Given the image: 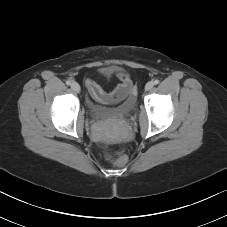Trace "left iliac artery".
Returning a JSON list of instances; mask_svg holds the SVG:
<instances>
[{"label": "left iliac artery", "mask_w": 227, "mask_h": 227, "mask_svg": "<svg viewBox=\"0 0 227 227\" xmlns=\"http://www.w3.org/2000/svg\"><path fill=\"white\" fill-rule=\"evenodd\" d=\"M159 83V80H154V84L157 85Z\"/></svg>", "instance_id": "obj_1"}]
</instances>
